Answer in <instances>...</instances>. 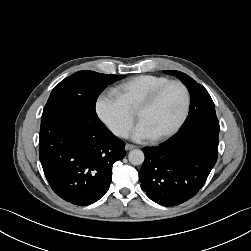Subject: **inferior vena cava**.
Segmentation results:
<instances>
[{
  "label": "inferior vena cava",
  "mask_w": 251,
  "mask_h": 251,
  "mask_svg": "<svg viewBox=\"0 0 251 251\" xmlns=\"http://www.w3.org/2000/svg\"><path fill=\"white\" fill-rule=\"evenodd\" d=\"M114 134H116L117 136H121V137H128L129 132L125 128H116L114 130Z\"/></svg>",
  "instance_id": "obj_1"
}]
</instances>
